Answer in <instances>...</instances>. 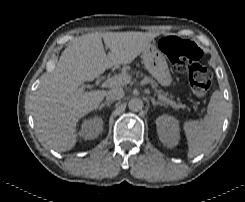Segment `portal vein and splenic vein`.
Masks as SVG:
<instances>
[{"instance_id":"1","label":"portal vein and splenic vein","mask_w":245,"mask_h":202,"mask_svg":"<svg viewBox=\"0 0 245 202\" xmlns=\"http://www.w3.org/2000/svg\"><path fill=\"white\" fill-rule=\"evenodd\" d=\"M130 81H131L130 75L119 74V75H115V76L107 79L106 81H104L101 84V87L107 88V87L124 85V84H128ZM158 99L169 104V105H171L174 108V102L172 100H170L169 98H167L166 96L159 94Z\"/></svg>"}]
</instances>
